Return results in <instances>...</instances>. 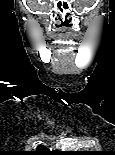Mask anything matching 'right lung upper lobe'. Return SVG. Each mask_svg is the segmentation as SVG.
I'll list each match as a JSON object with an SVG mask.
<instances>
[{
    "label": "right lung upper lobe",
    "mask_w": 115,
    "mask_h": 155,
    "mask_svg": "<svg viewBox=\"0 0 115 155\" xmlns=\"http://www.w3.org/2000/svg\"><path fill=\"white\" fill-rule=\"evenodd\" d=\"M57 153H58L57 150L50 151L45 146L39 145L37 146L36 151L32 152V155H57Z\"/></svg>",
    "instance_id": "obj_1"
}]
</instances>
